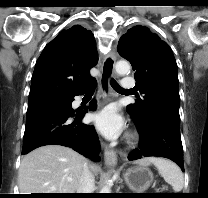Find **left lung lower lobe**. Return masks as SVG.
Here are the masks:
<instances>
[{
    "label": "left lung lower lobe",
    "instance_id": "left-lung-lower-lobe-1",
    "mask_svg": "<svg viewBox=\"0 0 208 198\" xmlns=\"http://www.w3.org/2000/svg\"><path fill=\"white\" fill-rule=\"evenodd\" d=\"M139 149L134 150L128 160L158 156L174 161L184 171L183 147L180 136V124L163 115H153L142 128Z\"/></svg>",
    "mask_w": 208,
    "mask_h": 198
}]
</instances>
